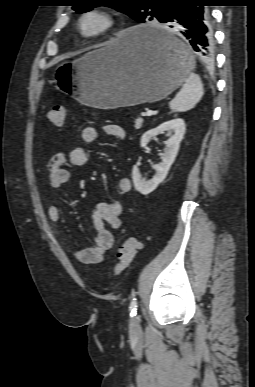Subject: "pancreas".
<instances>
[{
	"mask_svg": "<svg viewBox=\"0 0 255 387\" xmlns=\"http://www.w3.org/2000/svg\"><path fill=\"white\" fill-rule=\"evenodd\" d=\"M143 122H144L143 119L140 117L135 119V125H134L135 129H140L142 127Z\"/></svg>",
	"mask_w": 255,
	"mask_h": 387,
	"instance_id": "pancreas-1",
	"label": "pancreas"
}]
</instances>
